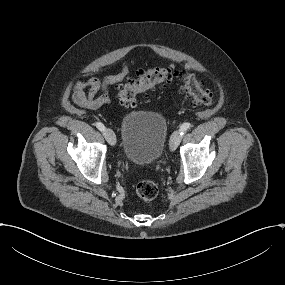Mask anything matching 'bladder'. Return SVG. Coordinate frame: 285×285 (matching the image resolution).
Listing matches in <instances>:
<instances>
[{
    "instance_id": "obj_1",
    "label": "bladder",
    "mask_w": 285,
    "mask_h": 285,
    "mask_svg": "<svg viewBox=\"0 0 285 285\" xmlns=\"http://www.w3.org/2000/svg\"><path fill=\"white\" fill-rule=\"evenodd\" d=\"M168 126L159 112L134 111L121 121L120 145L128 162L150 166L163 155Z\"/></svg>"
}]
</instances>
